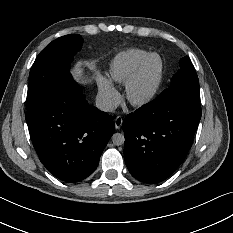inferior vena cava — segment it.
<instances>
[{"label": "inferior vena cava", "mask_w": 233, "mask_h": 233, "mask_svg": "<svg viewBox=\"0 0 233 233\" xmlns=\"http://www.w3.org/2000/svg\"><path fill=\"white\" fill-rule=\"evenodd\" d=\"M95 107L101 111L111 112L116 109V104L111 99L105 97H97Z\"/></svg>", "instance_id": "602c4592"}]
</instances>
